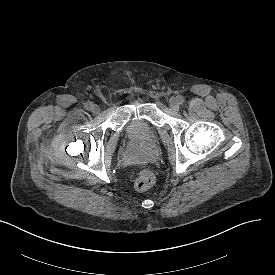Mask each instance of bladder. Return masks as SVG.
<instances>
[{"label": "bladder", "instance_id": "obj_1", "mask_svg": "<svg viewBox=\"0 0 275 275\" xmlns=\"http://www.w3.org/2000/svg\"><path fill=\"white\" fill-rule=\"evenodd\" d=\"M128 135L135 140L142 141L147 137V132L138 122L131 123L127 128Z\"/></svg>", "mask_w": 275, "mask_h": 275}]
</instances>
